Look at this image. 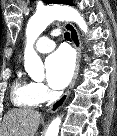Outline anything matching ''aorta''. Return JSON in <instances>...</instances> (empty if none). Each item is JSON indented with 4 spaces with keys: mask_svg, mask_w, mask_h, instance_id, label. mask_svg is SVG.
<instances>
[{
    "mask_svg": "<svg viewBox=\"0 0 117 136\" xmlns=\"http://www.w3.org/2000/svg\"><path fill=\"white\" fill-rule=\"evenodd\" d=\"M55 20L73 21L79 25L83 32L88 31V26L83 17L75 9L68 6H46L38 10L28 21L26 28L27 44L24 51V67L33 79L44 76V67L41 58L34 50L33 45L42 32ZM61 117H56L49 125L45 136H58Z\"/></svg>",
    "mask_w": 117,
    "mask_h": 136,
    "instance_id": "obj_1",
    "label": "aorta"
}]
</instances>
